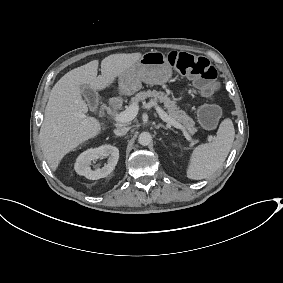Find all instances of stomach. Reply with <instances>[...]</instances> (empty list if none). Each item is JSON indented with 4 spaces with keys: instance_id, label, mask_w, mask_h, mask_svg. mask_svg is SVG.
<instances>
[{
    "instance_id": "0dacf381",
    "label": "stomach",
    "mask_w": 283,
    "mask_h": 283,
    "mask_svg": "<svg viewBox=\"0 0 283 283\" xmlns=\"http://www.w3.org/2000/svg\"><path fill=\"white\" fill-rule=\"evenodd\" d=\"M172 76L173 69L167 56L161 51H150L119 77V89L124 95H132L141 88V82L160 85L169 82Z\"/></svg>"
}]
</instances>
